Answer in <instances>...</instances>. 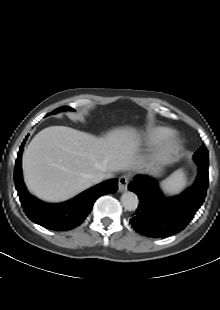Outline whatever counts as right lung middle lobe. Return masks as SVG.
<instances>
[{
    "instance_id": "obj_1",
    "label": "right lung middle lobe",
    "mask_w": 220,
    "mask_h": 310,
    "mask_svg": "<svg viewBox=\"0 0 220 310\" xmlns=\"http://www.w3.org/2000/svg\"><path fill=\"white\" fill-rule=\"evenodd\" d=\"M65 109L73 110V109L70 108V107L64 106V107H60V108L54 110L52 113H56V112H59V111L65 110ZM48 115H49V114H48Z\"/></svg>"
}]
</instances>
